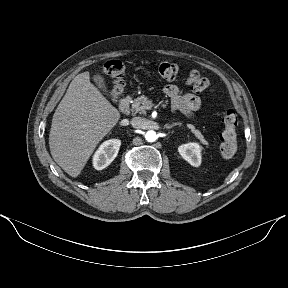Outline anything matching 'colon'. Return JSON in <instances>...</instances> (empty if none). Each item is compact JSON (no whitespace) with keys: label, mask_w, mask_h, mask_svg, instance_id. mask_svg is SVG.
I'll use <instances>...</instances> for the list:
<instances>
[{"label":"colon","mask_w":288,"mask_h":288,"mask_svg":"<svg viewBox=\"0 0 288 288\" xmlns=\"http://www.w3.org/2000/svg\"><path fill=\"white\" fill-rule=\"evenodd\" d=\"M103 72L113 79L111 97L117 99L125 86V68L123 63L118 60L107 61L103 66ZM158 73L163 79L174 80L178 76L179 68L174 63L161 62L158 66ZM186 82L196 92L211 91L209 81L196 70L189 73ZM222 123L224 131L221 135L220 154L223 158L229 159L235 155L237 150L236 127L238 125V116L235 111L228 110L222 118Z\"/></svg>","instance_id":"colon-1"}]
</instances>
